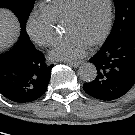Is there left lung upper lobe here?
<instances>
[{
  "mask_svg": "<svg viewBox=\"0 0 135 135\" xmlns=\"http://www.w3.org/2000/svg\"><path fill=\"white\" fill-rule=\"evenodd\" d=\"M115 21L107 42L124 37L135 29V0H114Z\"/></svg>",
  "mask_w": 135,
  "mask_h": 135,
  "instance_id": "obj_1",
  "label": "left lung upper lobe"
}]
</instances>
